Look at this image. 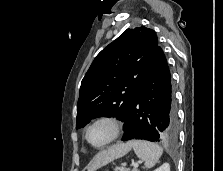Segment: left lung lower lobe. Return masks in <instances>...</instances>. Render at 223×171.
I'll return each instance as SVG.
<instances>
[{
	"instance_id": "left-lung-lower-lobe-1",
	"label": "left lung lower lobe",
	"mask_w": 223,
	"mask_h": 171,
	"mask_svg": "<svg viewBox=\"0 0 223 171\" xmlns=\"http://www.w3.org/2000/svg\"><path fill=\"white\" fill-rule=\"evenodd\" d=\"M123 141L175 142L178 119L165 55L158 46L124 121Z\"/></svg>"
}]
</instances>
